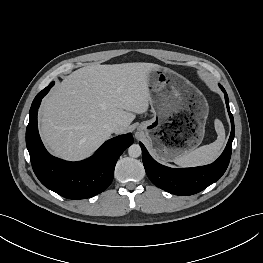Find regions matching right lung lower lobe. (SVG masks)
I'll return each instance as SVG.
<instances>
[{"instance_id":"1","label":"right lung lower lobe","mask_w":263,"mask_h":263,"mask_svg":"<svg viewBox=\"0 0 263 263\" xmlns=\"http://www.w3.org/2000/svg\"><path fill=\"white\" fill-rule=\"evenodd\" d=\"M54 82L35 97L30 108L26 129V145L33 171L48 189L68 199H85L103 192L112 182L119 156L134 139L131 133L105 142L90 158L68 162L50 155L42 144L37 127V112L41 99Z\"/></svg>"}]
</instances>
